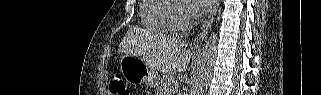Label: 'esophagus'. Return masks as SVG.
<instances>
[{
  "label": "esophagus",
  "mask_w": 321,
  "mask_h": 95,
  "mask_svg": "<svg viewBox=\"0 0 321 95\" xmlns=\"http://www.w3.org/2000/svg\"><path fill=\"white\" fill-rule=\"evenodd\" d=\"M219 3H220L219 0L214 1L213 6L211 8V11H210L206 21L204 22L197 37L195 38L194 46L199 47L204 42V40L208 34V31L210 30L211 25L215 19V15H216Z\"/></svg>",
  "instance_id": "esophagus-1"
}]
</instances>
